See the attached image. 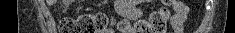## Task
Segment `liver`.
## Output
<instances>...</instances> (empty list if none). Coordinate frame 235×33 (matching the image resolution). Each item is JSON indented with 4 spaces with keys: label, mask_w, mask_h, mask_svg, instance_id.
<instances>
[{
    "label": "liver",
    "mask_w": 235,
    "mask_h": 33,
    "mask_svg": "<svg viewBox=\"0 0 235 33\" xmlns=\"http://www.w3.org/2000/svg\"><path fill=\"white\" fill-rule=\"evenodd\" d=\"M48 5H52L56 2V0H46Z\"/></svg>",
    "instance_id": "6515ba94"
}]
</instances>
